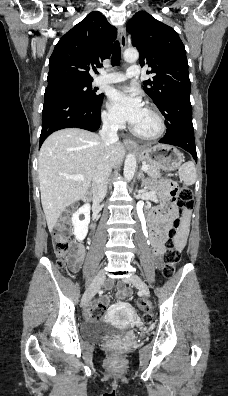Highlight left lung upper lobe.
I'll use <instances>...</instances> for the list:
<instances>
[{
  "label": "left lung upper lobe",
  "mask_w": 228,
  "mask_h": 396,
  "mask_svg": "<svg viewBox=\"0 0 228 396\" xmlns=\"http://www.w3.org/2000/svg\"><path fill=\"white\" fill-rule=\"evenodd\" d=\"M127 31L139 53L141 67L148 66L154 76L143 82L145 92L160 109L178 95H190V80L185 47L177 32L145 11L128 22ZM178 100L175 112L181 111Z\"/></svg>",
  "instance_id": "left-lung-upper-lobe-1"
}]
</instances>
